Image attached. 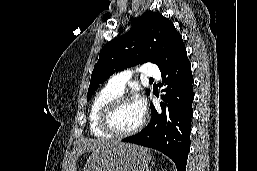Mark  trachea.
Segmentation results:
<instances>
[{
	"label": "trachea",
	"mask_w": 257,
	"mask_h": 171,
	"mask_svg": "<svg viewBox=\"0 0 257 171\" xmlns=\"http://www.w3.org/2000/svg\"><path fill=\"white\" fill-rule=\"evenodd\" d=\"M149 81H153V79H152V78H150V79H149Z\"/></svg>",
	"instance_id": "1"
}]
</instances>
